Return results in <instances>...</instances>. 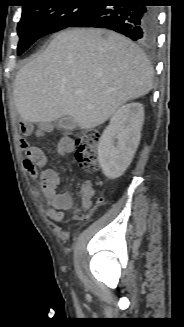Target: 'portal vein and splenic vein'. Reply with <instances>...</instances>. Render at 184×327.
<instances>
[{"instance_id": "obj_1", "label": "portal vein and splenic vein", "mask_w": 184, "mask_h": 327, "mask_svg": "<svg viewBox=\"0 0 184 327\" xmlns=\"http://www.w3.org/2000/svg\"><path fill=\"white\" fill-rule=\"evenodd\" d=\"M76 94L77 95H82L83 94V91L82 90H77Z\"/></svg>"}]
</instances>
